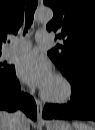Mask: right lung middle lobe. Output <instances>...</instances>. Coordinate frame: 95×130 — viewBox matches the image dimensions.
I'll use <instances>...</instances> for the list:
<instances>
[{
  "instance_id": "1",
  "label": "right lung middle lobe",
  "mask_w": 95,
  "mask_h": 130,
  "mask_svg": "<svg viewBox=\"0 0 95 130\" xmlns=\"http://www.w3.org/2000/svg\"><path fill=\"white\" fill-rule=\"evenodd\" d=\"M11 71V66L6 67L5 64L0 63V76L6 75Z\"/></svg>"
}]
</instances>
